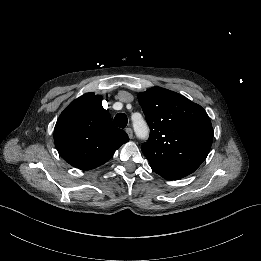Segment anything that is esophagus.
<instances>
[{
    "label": "esophagus",
    "instance_id": "1",
    "mask_svg": "<svg viewBox=\"0 0 261 261\" xmlns=\"http://www.w3.org/2000/svg\"><path fill=\"white\" fill-rule=\"evenodd\" d=\"M126 133L128 134V137L130 138V139H132L133 138V130L131 129V128H126Z\"/></svg>",
    "mask_w": 261,
    "mask_h": 261
}]
</instances>
